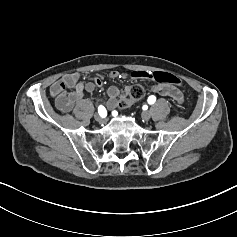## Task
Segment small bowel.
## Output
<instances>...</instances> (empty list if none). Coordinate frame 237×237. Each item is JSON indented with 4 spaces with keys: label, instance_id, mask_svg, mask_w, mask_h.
<instances>
[{
    "label": "small bowel",
    "instance_id": "obj_1",
    "mask_svg": "<svg viewBox=\"0 0 237 237\" xmlns=\"http://www.w3.org/2000/svg\"><path fill=\"white\" fill-rule=\"evenodd\" d=\"M150 72L135 71L131 74L120 73L116 70L110 72V77L133 79H149ZM103 85V80L98 77L81 79L78 73H70L64 75L61 79L54 82L50 86V95L54 98L56 107L64 113L74 111L80 118L87 116L92 110V103L84 99L86 92H93L97 87ZM152 91L170 97L177 105L182 104L183 96L181 92L174 86L168 84L157 83L152 87ZM108 99L103 102L108 109L112 110L118 105V97L120 90L116 86H110L107 90Z\"/></svg>",
    "mask_w": 237,
    "mask_h": 237
}]
</instances>
